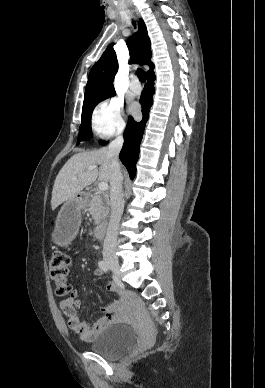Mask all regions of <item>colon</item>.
<instances>
[{
    "label": "colon",
    "mask_w": 265,
    "mask_h": 388,
    "mask_svg": "<svg viewBox=\"0 0 265 388\" xmlns=\"http://www.w3.org/2000/svg\"><path fill=\"white\" fill-rule=\"evenodd\" d=\"M70 264V256L61 251L54 252L49 259V275L55 284V293L60 297L70 296L73 290L67 281Z\"/></svg>",
    "instance_id": "obj_1"
}]
</instances>
